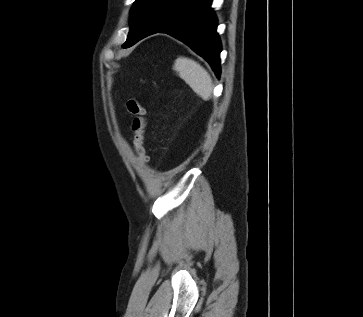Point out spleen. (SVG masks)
<instances>
[{
    "instance_id": "3e777b00",
    "label": "spleen",
    "mask_w": 363,
    "mask_h": 317,
    "mask_svg": "<svg viewBox=\"0 0 363 317\" xmlns=\"http://www.w3.org/2000/svg\"><path fill=\"white\" fill-rule=\"evenodd\" d=\"M173 69L201 98L208 99L211 96L213 91L211 76L199 63L186 57H178Z\"/></svg>"
}]
</instances>
